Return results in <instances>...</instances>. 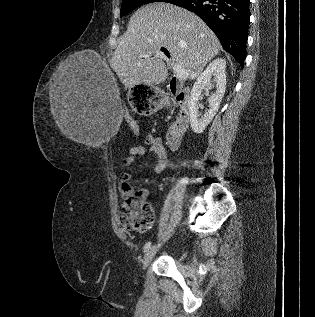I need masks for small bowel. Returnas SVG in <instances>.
I'll return each mask as SVG.
<instances>
[{"instance_id": "small-bowel-1", "label": "small bowel", "mask_w": 315, "mask_h": 317, "mask_svg": "<svg viewBox=\"0 0 315 317\" xmlns=\"http://www.w3.org/2000/svg\"><path fill=\"white\" fill-rule=\"evenodd\" d=\"M145 143L149 148V151L152 152L157 159V164L155 166V172L159 173L163 171L167 165H168V153L162 143V140L154 136L152 134H148L145 137ZM146 150L143 146H132L129 150V153L127 157L123 160L121 165V176H120V182H119V191L122 196H124V184L128 182L131 178L130 173L127 171V169L140 157H142L145 154ZM144 196L146 197L148 192L147 190L142 191ZM120 222L123 225L125 229H131L129 225L125 223V221L120 218Z\"/></svg>"}]
</instances>
